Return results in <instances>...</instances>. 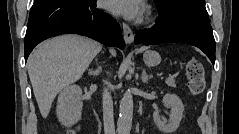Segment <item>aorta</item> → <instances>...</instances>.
I'll list each match as a JSON object with an SVG mask.
<instances>
[{
  "label": "aorta",
  "instance_id": "762f6f07",
  "mask_svg": "<svg viewBox=\"0 0 239 134\" xmlns=\"http://www.w3.org/2000/svg\"><path fill=\"white\" fill-rule=\"evenodd\" d=\"M133 118V96L128 91L120 101L119 118L117 121L118 134H130Z\"/></svg>",
  "mask_w": 239,
  "mask_h": 134
}]
</instances>
